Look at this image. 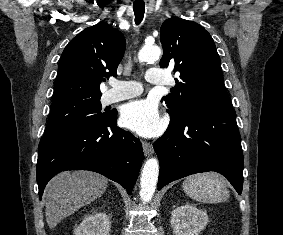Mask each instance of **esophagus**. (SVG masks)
Returning a JSON list of instances; mask_svg holds the SVG:
<instances>
[{
    "label": "esophagus",
    "mask_w": 283,
    "mask_h": 235,
    "mask_svg": "<svg viewBox=\"0 0 283 235\" xmlns=\"http://www.w3.org/2000/svg\"><path fill=\"white\" fill-rule=\"evenodd\" d=\"M143 152L146 157L153 154V145L150 142L142 141Z\"/></svg>",
    "instance_id": "obj_1"
}]
</instances>
